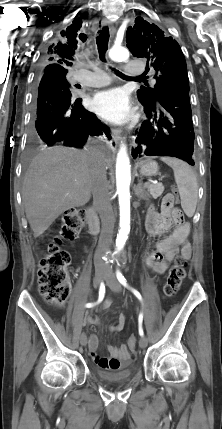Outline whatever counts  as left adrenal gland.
Masks as SVG:
<instances>
[{"label":"left adrenal gland","instance_id":"a2214340","mask_svg":"<svg viewBox=\"0 0 222 429\" xmlns=\"http://www.w3.org/2000/svg\"><path fill=\"white\" fill-rule=\"evenodd\" d=\"M135 195L138 197L139 200L147 198V192L145 190V187H143L142 180H139L135 188Z\"/></svg>","mask_w":222,"mask_h":429}]
</instances>
